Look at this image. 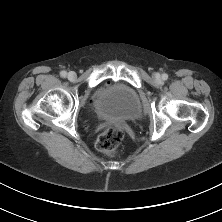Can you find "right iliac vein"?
<instances>
[{
  "instance_id": "right-iliac-vein-1",
  "label": "right iliac vein",
  "mask_w": 222,
  "mask_h": 222,
  "mask_svg": "<svg viewBox=\"0 0 222 222\" xmlns=\"http://www.w3.org/2000/svg\"><path fill=\"white\" fill-rule=\"evenodd\" d=\"M67 77L69 80H74L76 78V73L71 71L68 73Z\"/></svg>"
}]
</instances>
